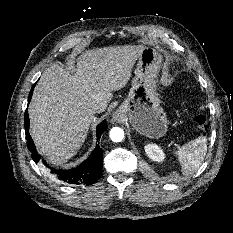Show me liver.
<instances>
[{"mask_svg":"<svg viewBox=\"0 0 233 233\" xmlns=\"http://www.w3.org/2000/svg\"><path fill=\"white\" fill-rule=\"evenodd\" d=\"M143 46L91 49L77 58L74 74L46 68L29 106L30 133L39 151L61 165L84 143L95 113L106 110L113 91L125 87Z\"/></svg>","mask_w":233,"mask_h":233,"instance_id":"1","label":"liver"}]
</instances>
